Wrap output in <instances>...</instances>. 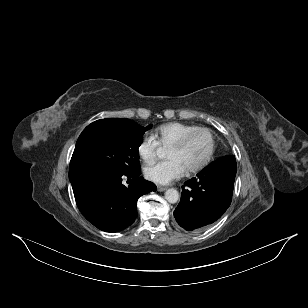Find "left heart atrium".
<instances>
[{
	"label": "left heart atrium",
	"instance_id": "1",
	"mask_svg": "<svg viewBox=\"0 0 308 308\" xmlns=\"http://www.w3.org/2000/svg\"><path fill=\"white\" fill-rule=\"evenodd\" d=\"M182 163L175 158L152 164L145 168L148 180L157 184H168L185 173Z\"/></svg>",
	"mask_w": 308,
	"mask_h": 308
}]
</instances>
